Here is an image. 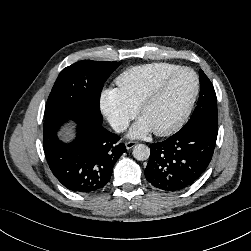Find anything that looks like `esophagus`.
I'll return each mask as SVG.
<instances>
[{
  "label": "esophagus",
  "mask_w": 251,
  "mask_h": 251,
  "mask_svg": "<svg viewBox=\"0 0 251 251\" xmlns=\"http://www.w3.org/2000/svg\"><path fill=\"white\" fill-rule=\"evenodd\" d=\"M135 145H136V142H135V141H128V142L126 143V148H127V150H130V149H132Z\"/></svg>",
  "instance_id": "1"
}]
</instances>
